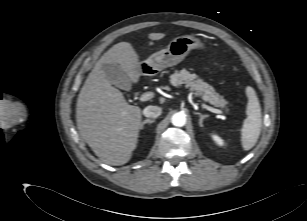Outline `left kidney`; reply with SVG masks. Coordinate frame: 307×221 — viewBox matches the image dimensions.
I'll list each match as a JSON object with an SVG mask.
<instances>
[{"mask_svg":"<svg viewBox=\"0 0 307 221\" xmlns=\"http://www.w3.org/2000/svg\"><path fill=\"white\" fill-rule=\"evenodd\" d=\"M212 139H213V141H214L217 145H219V146H223V145H224L223 140H222L218 135L213 134V135H212Z\"/></svg>","mask_w":307,"mask_h":221,"instance_id":"1","label":"left kidney"}]
</instances>
